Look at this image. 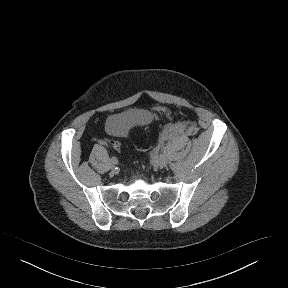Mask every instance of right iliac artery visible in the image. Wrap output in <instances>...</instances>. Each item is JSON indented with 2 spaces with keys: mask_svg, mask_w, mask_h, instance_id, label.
Here are the masks:
<instances>
[{
  "mask_svg": "<svg viewBox=\"0 0 288 288\" xmlns=\"http://www.w3.org/2000/svg\"><path fill=\"white\" fill-rule=\"evenodd\" d=\"M99 143L102 144V145H105V146H107V147L109 146L108 143H107L106 141H103V140H99ZM111 162L117 163L118 160H117V158H116L115 156H112V157H111Z\"/></svg>",
  "mask_w": 288,
  "mask_h": 288,
  "instance_id": "82829eb1",
  "label": "right iliac artery"
}]
</instances>
